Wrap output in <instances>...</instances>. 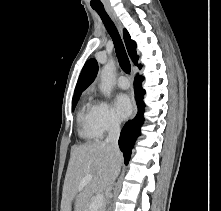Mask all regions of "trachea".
I'll return each instance as SVG.
<instances>
[{"label":"trachea","mask_w":221,"mask_h":211,"mask_svg":"<svg viewBox=\"0 0 221 211\" xmlns=\"http://www.w3.org/2000/svg\"><path fill=\"white\" fill-rule=\"evenodd\" d=\"M93 9L98 13L100 18L102 19L109 35L113 40L116 56L118 58L120 67L126 74H130L131 71L130 61L116 26L114 25L113 21L111 20V18L109 17V15L107 14L104 8H93Z\"/></svg>","instance_id":"1"}]
</instances>
